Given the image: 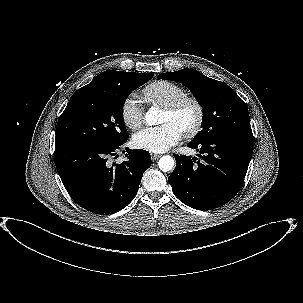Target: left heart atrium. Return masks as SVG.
Returning <instances> with one entry per match:
<instances>
[{
  "mask_svg": "<svg viewBox=\"0 0 303 303\" xmlns=\"http://www.w3.org/2000/svg\"><path fill=\"white\" fill-rule=\"evenodd\" d=\"M182 137V132L172 123H165L157 127L142 129L132 139L136 148L162 153L176 145Z\"/></svg>",
  "mask_w": 303,
  "mask_h": 303,
  "instance_id": "left-heart-atrium-1",
  "label": "left heart atrium"
}]
</instances>
